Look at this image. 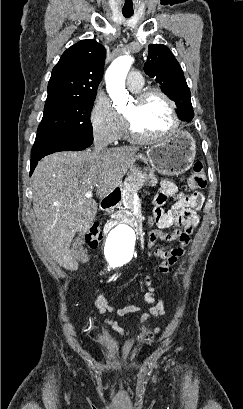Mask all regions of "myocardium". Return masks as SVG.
<instances>
[{
    "label": "myocardium",
    "instance_id": "obj_1",
    "mask_svg": "<svg viewBox=\"0 0 243 409\" xmlns=\"http://www.w3.org/2000/svg\"><path fill=\"white\" fill-rule=\"evenodd\" d=\"M156 95L162 98L166 104L168 105L170 116H171V125L170 127L165 130L164 132L157 134V135H146L138 131L132 121L131 118L127 117L126 115L123 116L125 128L129 137L136 142L147 143L157 141L169 134L173 133L179 126V116L176 109L175 102L161 89L159 88H147L141 91H138L134 96V102L136 105H141L144 101H146L149 97Z\"/></svg>",
    "mask_w": 243,
    "mask_h": 409
}]
</instances>
